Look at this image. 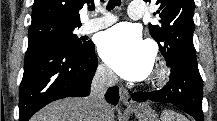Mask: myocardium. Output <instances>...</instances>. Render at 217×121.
<instances>
[{
	"label": "myocardium",
	"instance_id": "f54148a6",
	"mask_svg": "<svg viewBox=\"0 0 217 121\" xmlns=\"http://www.w3.org/2000/svg\"><path fill=\"white\" fill-rule=\"evenodd\" d=\"M168 70L164 66H158L153 71L149 83L153 86H159L162 85L168 78Z\"/></svg>",
	"mask_w": 217,
	"mask_h": 121
}]
</instances>
